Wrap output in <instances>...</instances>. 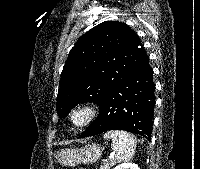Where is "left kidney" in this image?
Masks as SVG:
<instances>
[{"label": "left kidney", "instance_id": "5707ae66", "mask_svg": "<svg viewBox=\"0 0 200 169\" xmlns=\"http://www.w3.org/2000/svg\"><path fill=\"white\" fill-rule=\"evenodd\" d=\"M114 169H140L137 164L131 163V162H125L122 164H119Z\"/></svg>", "mask_w": 200, "mask_h": 169}]
</instances>
